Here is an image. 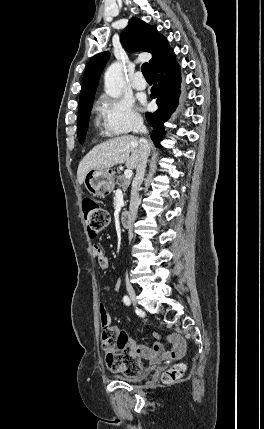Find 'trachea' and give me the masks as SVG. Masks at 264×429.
I'll use <instances>...</instances> for the list:
<instances>
[{"instance_id": "trachea-1", "label": "trachea", "mask_w": 264, "mask_h": 429, "mask_svg": "<svg viewBox=\"0 0 264 429\" xmlns=\"http://www.w3.org/2000/svg\"><path fill=\"white\" fill-rule=\"evenodd\" d=\"M142 73L145 78H150L149 72H148V65L147 63H144L141 67Z\"/></svg>"}]
</instances>
